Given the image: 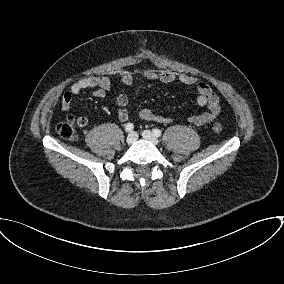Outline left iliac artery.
<instances>
[{
  "label": "left iliac artery",
  "mask_w": 284,
  "mask_h": 284,
  "mask_svg": "<svg viewBox=\"0 0 284 284\" xmlns=\"http://www.w3.org/2000/svg\"><path fill=\"white\" fill-rule=\"evenodd\" d=\"M153 134H154L156 137H159V136H161L162 132H161V130L155 128V129H153Z\"/></svg>",
  "instance_id": "44dca946"
}]
</instances>
